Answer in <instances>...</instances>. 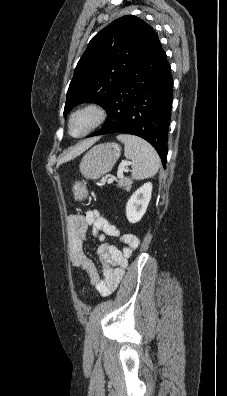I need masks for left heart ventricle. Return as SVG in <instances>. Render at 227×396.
<instances>
[{"mask_svg":"<svg viewBox=\"0 0 227 396\" xmlns=\"http://www.w3.org/2000/svg\"><path fill=\"white\" fill-rule=\"evenodd\" d=\"M90 118L86 115L76 117L72 122L71 131L74 135L81 134L89 125Z\"/></svg>","mask_w":227,"mask_h":396,"instance_id":"1","label":"left heart ventricle"}]
</instances>
